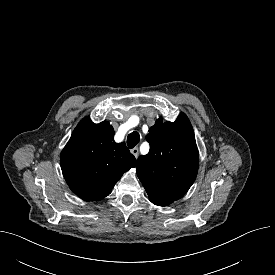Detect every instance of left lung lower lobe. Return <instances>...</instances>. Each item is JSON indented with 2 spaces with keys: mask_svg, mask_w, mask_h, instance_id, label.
Listing matches in <instances>:
<instances>
[{
  "mask_svg": "<svg viewBox=\"0 0 275 275\" xmlns=\"http://www.w3.org/2000/svg\"><path fill=\"white\" fill-rule=\"evenodd\" d=\"M152 203H154L156 205H159V206H167V205H169V204L164 203V202H152Z\"/></svg>",
  "mask_w": 275,
  "mask_h": 275,
  "instance_id": "1",
  "label": "left lung lower lobe"
}]
</instances>
